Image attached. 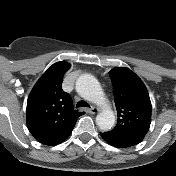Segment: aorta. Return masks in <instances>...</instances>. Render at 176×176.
Segmentation results:
<instances>
[{"instance_id":"aorta-1","label":"aorta","mask_w":176,"mask_h":176,"mask_svg":"<svg viewBox=\"0 0 176 176\" xmlns=\"http://www.w3.org/2000/svg\"><path fill=\"white\" fill-rule=\"evenodd\" d=\"M82 95L87 100L102 107V111L96 117V124L103 131L110 130L115 123L114 112L107 104L104 91L93 76L86 75L82 78Z\"/></svg>"}]
</instances>
